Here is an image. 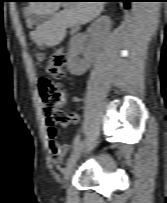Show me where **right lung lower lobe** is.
Listing matches in <instances>:
<instances>
[{
	"label": "right lung lower lobe",
	"instance_id": "1",
	"mask_svg": "<svg viewBox=\"0 0 167 203\" xmlns=\"http://www.w3.org/2000/svg\"><path fill=\"white\" fill-rule=\"evenodd\" d=\"M101 1H109V2H123L124 6L126 8H129V4L130 2H132V0H101Z\"/></svg>",
	"mask_w": 167,
	"mask_h": 203
}]
</instances>
